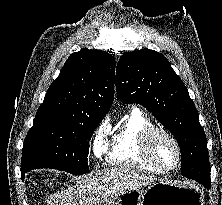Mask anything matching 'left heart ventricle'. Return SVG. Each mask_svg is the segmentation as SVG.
I'll use <instances>...</instances> for the list:
<instances>
[{
	"mask_svg": "<svg viewBox=\"0 0 222 205\" xmlns=\"http://www.w3.org/2000/svg\"><path fill=\"white\" fill-rule=\"evenodd\" d=\"M150 148L155 160L163 167H172L177 158L174 144L165 136L156 134L150 141Z\"/></svg>",
	"mask_w": 222,
	"mask_h": 205,
	"instance_id": "left-heart-ventricle-1",
	"label": "left heart ventricle"
}]
</instances>
